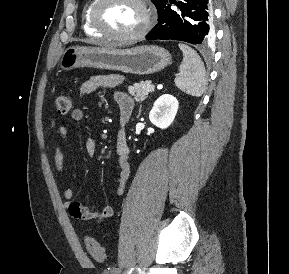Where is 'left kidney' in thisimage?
I'll return each instance as SVG.
<instances>
[{"label":"left kidney","mask_w":289,"mask_h":274,"mask_svg":"<svg viewBox=\"0 0 289 274\" xmlns=\"http://www.w3.org/2000/svg\"><path fill=\"white\" fill-rule=\"evenodd\" d=\"M178 100L170 95L164 94L160 96L155 102L149 113V119L155 126L166 129L169 127L178 111Z\"/></svg>","instance_id":"obj_1"}]
</instances>
